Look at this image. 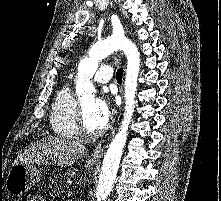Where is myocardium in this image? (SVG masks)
<instances>
[{
  "label": "myocardium",
  "instance_id": "f54148a6",
  "mask_svg": "<svg viewBox=\"0 0 221 201\" xmlns=\"http://www.w3.org/2000/svg\"><path fill=\"white\" fill-rule=\"evenodd\" d=\"M76 126L78 133L85 137H97L102 135L108 128L109 124L105 123L100 129L98 130H91L87 127L85 118H84V111L81 103H78L77 111H76Z\"/></svg>",
  "mask_w": 221,
  "mask_h": 201
}]
</instances>
